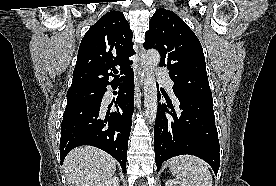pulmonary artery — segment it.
I'll return each mask as SVG.
<instances>
[{
	"label": "pulmonary artery",
	"mask_w": 276,
	"mask_h": 186,
	"mask_svg": "<svg viewBox=\"0 0 276 186\" xmlns=\"http://www.w3.org/2000/svg\"><path fill=\"white\" fill-rule=\"evenodd\" d=\"M156 77L164 83L170 93H173V81L169 77L168 73L161 68H157L155 71Z\"/></svg>",
	"instance_id": "pulmonary-artery-1"
}]
</instances>
